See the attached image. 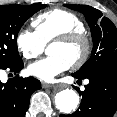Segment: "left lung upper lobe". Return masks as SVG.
Returning a JSON list of instances; mask_svg holds the SVG:
<instances>
[{
	"label": "left lung upper lobe",
	"instance_id": "obj_1",
	"mask_svg": "<svg viewBox=\"0 0 117 117\" xmlns=\"http://www.w3.org/2000/svg\"><path fill=\"white\" fill-rule=\"evenodd\" d=\"M66 7L81 12L91 28L93 49L90 59L75 73L85 78L97 69L117 62V28L102 13L88 5L65 4Z\"/></svg>",
	"mask_w": 117,
	"mask_h": 117
}]
</instances>
